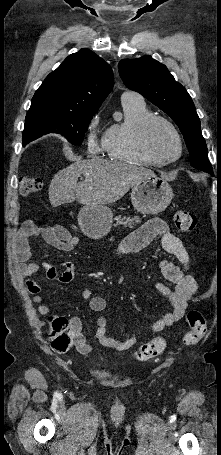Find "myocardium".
Segmentation results:
<instances>
[{
    "mask_svg": "<svg viewBox=\"0 0 221 455\" xmlns=\"http://www.w3.org/2000/svg\"><path fill=\"white\" fill-rule=\"evenodd\" d=\"M156 123L166 125L175 136L178 143V153L173 158H166L159 155L150 144V133ZM136 141L139 149L154 159L158 163H172L177 161L183 153V140L176 126L166 117L160 115H150L145 118L138 126L136 133Z\"/></svg>",
    "mask_w": 221,
    "mask_h": 455,
    "instance_id": "obj_1",
    "label": "myocardium"
}]
</instances>
